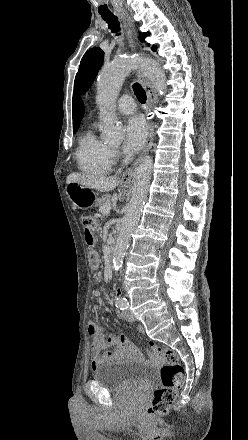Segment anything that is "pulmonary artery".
Wrapping results in <instances>:
<instances>
[{"mask_svg": "<svg viewBox=\"0 0 248 440\" xmlns=\"http://www.w3.org/2000/svg\"><path fill=\"white\" fill-rule=\"evenodd\" d=\"M135 107L136 106L133 98L128 94L121 96L116 104L117 110L122 114L133 113L135 111Z\"/></svg>", "mask_w": 248, "mask_h": 440, "instance_id": "obj_1", "label": "pulmonary artery"}]
</instances>
